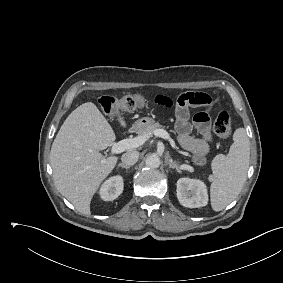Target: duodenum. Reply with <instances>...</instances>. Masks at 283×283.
<instances>
[{"label": "duodenum", "mask_w": 283, "mask_h": 283, "mask_svg": "<svg viewBox=\"0 0 283 283\" xmlns=\"http://www.w3.org/2000/svg\"><path fill=\"white\" fill-rule=\"evenodd\" d=\"M138 128L137 127H133L130 131L131 132H134V131H136Z\"/></svg>", "instance_id": "duodenum-1"}]
</instances>
